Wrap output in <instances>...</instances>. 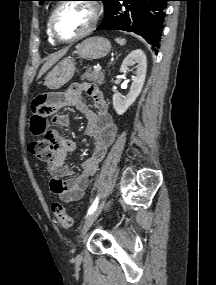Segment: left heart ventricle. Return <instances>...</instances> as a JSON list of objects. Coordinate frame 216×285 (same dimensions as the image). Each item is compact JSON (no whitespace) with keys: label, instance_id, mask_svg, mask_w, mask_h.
I'll use <instances>...</instances> for the list:
<instances>
[{"label":"left heart ventricle","instance_id":"left-heart-ventricle-1","mask_svg":"<svg viewBox=\"0 0 216 285\" xmlns=\"http://www.w3.org/2000/svg\"><path fill=\"white\" fill-rule=\"evenodd\" d=\"M92 10L84 3H69L62 7L55 19V30L62 38L82 33L92 21Z\"/></svg>","mask_w":216,"mask_h":285}]
</instances>
